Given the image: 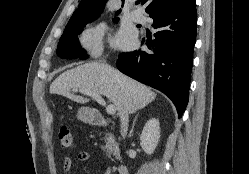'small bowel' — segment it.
<instances>
[{
  "instance_id": "1",
  "label": "small bowel",
  "mask_w": 249,
  "mask_h": 174,
  "mask_svg": "<svg viewBox=\"0 0 249 174\" xmlns=\"http://www.w3.org/2000/svg\"><path fill=\"white\" fill-rule=\"evenodd\" d=\"M77 158L79 161H87L90 158V155L86 151H81L78 153ZM72 168V159L69 156L64 157L63 159V173L69 174ZM103 174H110V169H106Z\"/></svg>"
}]
</instances>
